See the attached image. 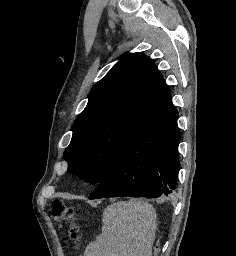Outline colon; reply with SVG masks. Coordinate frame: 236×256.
<instances>
[{
    "instance_id": "obj_1",
    "label": "colon",
    "mask_w": 236,
    "mask_h": 256,
    "mask_svg": "<svg viewBox=\"0 0 236 256\" xmlns=\"http://www.w3.org/2000/svg\"><path fill=\"white\" fill-rule=\"evenodd\" d=\"M49 218L60 226L63 221H77L76 212L69 206L66 205L64 201L53 200L47 210ZM68 236L73 242L74 248L77 250L79 248V234L77 227L73 226L68 231Z\"/></svg>"
}]
</instances>
